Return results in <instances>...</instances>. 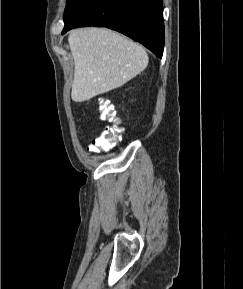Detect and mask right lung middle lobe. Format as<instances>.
Listing matches in <instances>:
<instances>
[{"label":"right lung middle lobe","instance_id":"right-lung-middle-lobe-1","mask_svg":"<svg viewBox=\"0 0 243 289\" xmlns=\"http://www.w3.org/2000/svg\"><path fill=\"white\" fill-rule=\"evenodd\" d=\"M80 1L81 0H68L65 8L64 20L67 19L76 10Z\"/></svg>","mask_w":243,"mask_h":289}]
</instances>
